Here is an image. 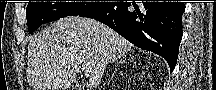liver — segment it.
<instances>
[{"instance_id":"liver-1","label":"liver","mask_w":216,"mask_h":90,"mask_svg":"<svg viewBox=\"0 0 216 90\" xmlns=\"http://www.w3.org/2000/svg\"><path fill=\"white\" fill-rule=\"evenodd\" d=\"M132 44L91 18H63L33 36L28 44L27 82L33 90H68L79 70L90 74L84 90H96L103 64L131 52Z\"/></svg>"}]
</instances>
